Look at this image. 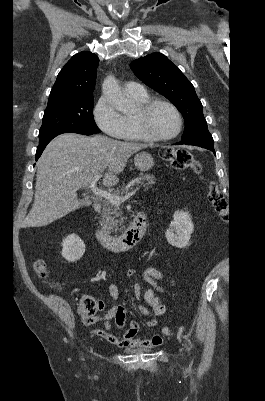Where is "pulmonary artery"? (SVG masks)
<instances>
[{"instance_id":"obj_1","label":"pulmonary artery","mask_w":265,"mask_h":401,"mask_svg":"<svg viewBox=\"0 0 265 401\" xmlns=\"http://www.w3.org/2000/svg\"><path fill=\"white\" fill-rule=\"evenodd\" d=\"M123 90L127 94H137L142 95L145 93V90L138 84H133L130 82H125L123 84Z\"/></svg>"}]
</instances>
